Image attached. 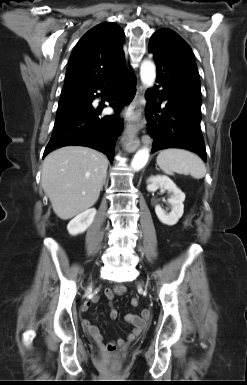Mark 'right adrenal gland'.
<instances>
[{"instance_id":"1","label":"right adrenal gland","mask_w":247,"mask_h":385,"mask_svg":"<svg viewBox=\"0 0 247 385\" xmlns=\"http://www.w3.org/2000/svg\"><path fill=\"white\" fill-rule=\"evenodd\" d=\"M105 183H106V178H105L104 181H103V185H105Z\"/></svg>"}]
</instances>
